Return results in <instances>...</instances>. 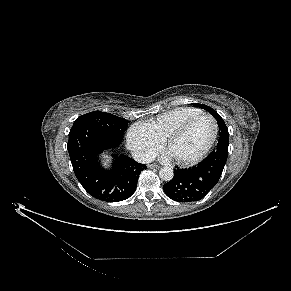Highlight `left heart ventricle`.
I'll return each mask as SVG.
<instances>
[{
  "label": "left heart ventricle",
  "instance_id": "b2bd125f",
  "mask_svg": "<svg viewBox=\"0 0 291 291\" xmlns=\"http://www.w3.org/2000/svg\"><path fill=\"white\" fill-rule=\"evenodd\" d=\"M212 135V121L208 118H200L182 136L171 143L168 152L175 159L189 160L205 149Z\"/></svg>",
  "mask_w": 291,
  "mask_h": 291
}]
</instances>
